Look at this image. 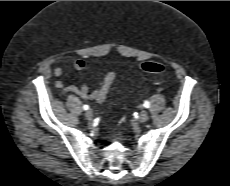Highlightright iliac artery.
Returning <instances> with one entry per match:
<instances>
[{
    "label": "right iliac artery",
    "instance_id": "obj_1",
    "mask_svg": "<svg viewBox=\"0 0 230 186\" xmlns=\"http://www.w3.org/2000/svg\"><path fill=\"white\" fill-rule=\"evenodd\" d=\"M83 109H84V110H88V109H89V106H88V105H84V106H83Z\"/></svg>",
    "mask_w": 230,
    "mask_h": 186
}]
</instances>
